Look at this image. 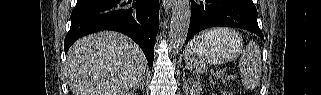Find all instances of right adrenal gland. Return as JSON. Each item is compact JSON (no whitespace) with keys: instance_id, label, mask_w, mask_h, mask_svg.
I'll list each match as a JSON object with an SVG mask.
<instances>
[{"instance_id":"2a0ac1e0","label":"right adrenal gland","mask_w":321,"mask_h":95,"mask_svg":"<svg viewBox=\"0 0 321 95\" xmlns=\"http://www.w3.org/2000/svg\"><path fill=\"white\" fill-rule=\"evenodd\" d=\"M144 82H145V80H144V78L141 80V82L135 87V91L138 89V88H140L141 90L144 88ZM131 93H132V91H131Z\"/></svg>"}]
</instances>
